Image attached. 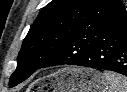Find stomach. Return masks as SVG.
Returning <instances> with one entry per match:
<instances>
[{
    "mask_svg": "<svg viewBox=\"0 0 127 92\" xmlns=\"http://www.w3.org/2000/svg\"><path fill=\"white\" fill-rule=\"evenodd\" d=\"M52 92H104L108 83L102 73L84 67H66L49 76Z\"/></svg>",
    "mask_w": 127,
    "mask_h": 92,
    "instance_id": "obj_1",
    "label": "stomach"
}]
</instances>
